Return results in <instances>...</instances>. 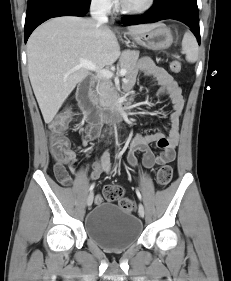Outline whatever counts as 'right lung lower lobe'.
Listing matches in <instances>:
<instances>
[{
	"mask_svg": "<svg viewBox=\"0 0 231 281\" xmlns=\"http://www.w3.org/2000/svg\"><path fill=\"white\" fill-rule=\"evenodd\" d=\"M91 0H28L25 21V42L44 21L58 16H84Z\"/></svg>",
	"mask_w": 231,
	"mask_h": 281,
	"instance_id": "98d812e1",
	"label": "right lung lower lobe"
}]
</instances>
